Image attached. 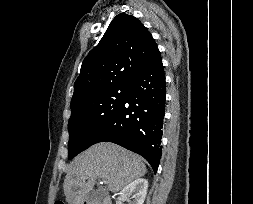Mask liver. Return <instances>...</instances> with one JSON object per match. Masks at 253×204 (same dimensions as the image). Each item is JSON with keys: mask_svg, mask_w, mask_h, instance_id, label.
Returning a JSON list of instances; mask_svg holds the SVG:
<instances>
[{"mask_svg": "<svg viewBox=\"0 0 253 204\" xmlns=\"http://www.w3.org/2000/svg\"><path fill=\"white\" fill-rule=\"evenodd\" d=\"M143 159L113 143H98L78 155L70 165L63 189L68 204H83L96 180L116 193L145 175Z\"/></svg>", "mask_w": 253, "mask_h": 204, "instance_id": "liver-1", "label": "liver"}]
</instances>
